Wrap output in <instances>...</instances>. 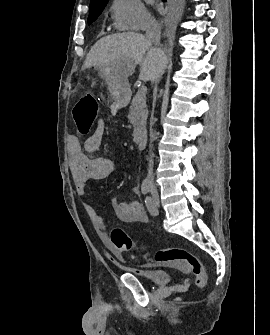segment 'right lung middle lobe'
Here are the masks:
<instances>
[{
    "mask_svg": "<svg viewBox=\"0 0 270 335\" xmlns=\"http://www.w3.org/2000/svg\"><path fill=\"white\" fill-rule=\"evenodd\" d=\"M107 3L91 5L89 8L88 24L94 22L98 16L102 13Z\"/></svg>",
    "mask_w": 270,
    "mask_h": 335,
    "instance_id": "dd1d6c3e",
    "label": "right lung middle lobe"
}]
</instances>
